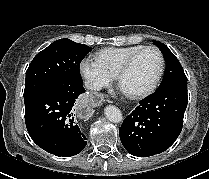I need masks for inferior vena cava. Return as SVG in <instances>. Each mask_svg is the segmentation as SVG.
<instances>
[{
    "label": "inferior vena cava",
    "mask_w": 209,
    "mask_h": 179,
    "mask_svg": "<svg viewBox=\"0 0 209 179\" xmlns=\"http://www.w3.org/2000/svg\"><path fill=\"white\" fill-rule=\"evenodd\" d=\"M85 87L87 89H91V90H99L100 86L97 83L91 82V81H86L85 82Z\"/></svg>",
    "instance_id": "602c4592"
}]
</instances>
